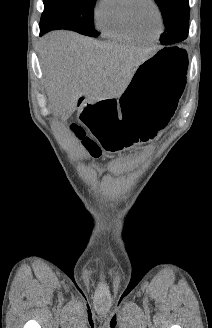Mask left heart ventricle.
<instances>
[{"mask_svg":"<svg viewBox=\"0 0 212 328\" xmlns=\"http://www.w3.org/2000/svg\"><path fill=\"white\" fill-rule=\"evenodd\" d=\"M134 16L140 28L147 33H156L159 20L155 9L147 0H139L134 7Z\"/></svg>","mask_w":212,"mask_h":328,"instance_id":"left-heart-ventricle-1","label":"left heart ventricle"}]
</instances>
